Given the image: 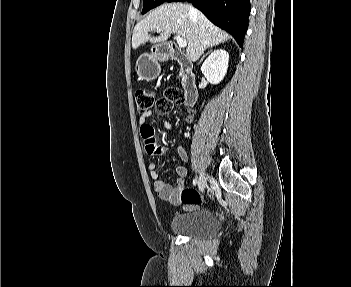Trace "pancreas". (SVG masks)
<instances>
[{"mask_svg":"<svg viewBox=\"0 0 351 287\" xmlns=\"http://www.w3.org/2000/svg\"><path fill=\"white\" fill-rule=\"evenodd\" d=\"M182 74H183V72L181 71V72H180V76H182Z\"/></svg>","mask_w":351,"mask_h":287,"instance_id":"cf45deb5","label":"pancreas"}]
</instances>
